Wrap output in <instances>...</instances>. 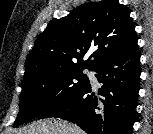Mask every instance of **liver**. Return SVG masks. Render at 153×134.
Returning <instances> with one entry per match:
<instances>
[{
	"label": "liver",
	"instance_id": "6515ba94",
	"mask_svg": "<svg viewBox=\"0 0 153 134\" xmlns=\"http://www.w3.org/2000/svg\"><path fill=\"white\" fill-rule=\"evenodd\" d=\"M16 134H84L76 125L67 121L48 119L38 121L25 127L22 130L15 131Z\"/></svg>",
	"mask_w": 153,
	"mask_h": 134
}]
</instances>
